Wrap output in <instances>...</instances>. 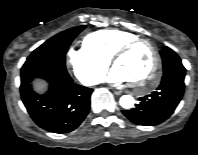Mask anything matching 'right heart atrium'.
<instances>
[{
    "label": "right heart atrium",
    "mask_w": 198,
    "mask_h": 155,
    "mask_svg": "<svg viewBox=\"0 0 198 155\" xmlns=\"http://www.w3.org/2000/svg\"><path fill=\"white\" fill-rule=\"evenodd\" d=\"M67 63L77 79L86 85H94L103 79L109 60L98 55L86 45H82L80 47L71 46L68 49Z\"/></svg>",
    "instance_id": "1"
}]
</instances>
